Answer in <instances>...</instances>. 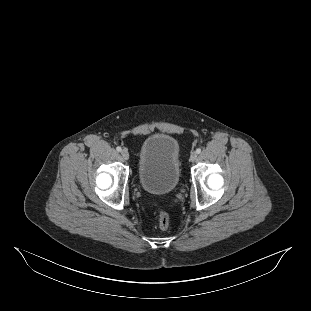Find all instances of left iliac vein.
<instances>
[{
    "label": "left iliac vein",
    "instance_id": "1",
    "mask_svg": "<svg viewBox=\"0 0 311 311\" xmlns=\"http://www.w3.org/2000/svg\"><path fill=\"white\" fill-rule=\"evenodd\" d=\"M196 159H197V153H196V151L191 152V154H190V161H191V162H194Z\"/></svg>",
    "mask_w": 311,
    "mask_h": 311
}]
</instances>
